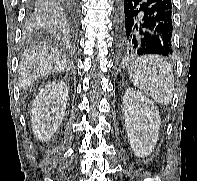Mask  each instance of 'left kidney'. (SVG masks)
<instances>
[{
  "label": "left kidney",
  "mask_w": 197,
  "mask_h": 181,
  "mask_svg": "<svg viewBox=\"0 0 197 181\" xmlns=\"http://www.w3.org/2000/svg\"><path fill=\"white\" fill-rule=\"evenodd\" d=\"M123 112L127 136L135 155H150L158 141L161 124L154 103L138 90L128 88L123 98Z\"/></svg>",
  "instance_id": "left-kidney-1"
}]
</instances>
